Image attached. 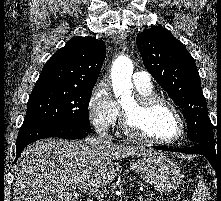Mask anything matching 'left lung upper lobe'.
<instances>
[{
	"mask_svg": "<svg viewBox=\"0 0 221 201\" xmlns=\"http://www.w3.org/2000/svg\"><path fill=\"white\" fill-rule=\"evenodd\" d=\"M136 43L148 72L182 109L189 140L215 149L212 124L193 57L162 27L139 33Z\"/></svg>",
	"mask_w": 221,
	"mask_h": 201,
	"instance_id": "left-lung-upper-lobe-1",
	"label": "left lung upper lobe"
}]
</instances>
